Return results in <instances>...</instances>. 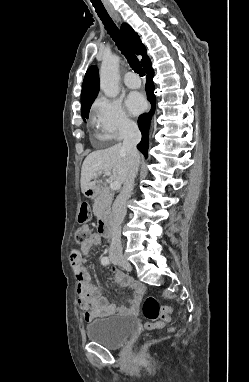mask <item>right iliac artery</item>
<instances>
[{
	"mask_svg": "<svg viewBox=\"0 0 249 382\" xmlns=\"http://www.w3.org/2000/svg\"><path fill=\"white\" fill-rule=\"evenodd\" d=\"M103 265H108L109 264V258L108 257H103L101 260Z\"/></svg>",
	"mask_w": 249,
	"mask_h": 382,
	"instance_id": "82829eb1",
	"label": "right iliac artery"
}]
</instances>
